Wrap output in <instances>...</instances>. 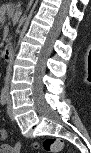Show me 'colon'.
Masks as SVG:
<instances>
[{
  "mask_svg": "<svg viewBox=\"0 0 91 153\" xmlns=\"http://www.w3.org/2000/svg\"><path fill=\"white\" fill-rule=\"evenodd\" d=\"M20 144L15 145L16 150L19 149ZM35 149H42L48 153H58L62 152L64 149V142L59 138H46L42 142H36Z\"/></svg>",
  "mask_w": 91,
  "mask_h": 153,
  "instance_id": "colon-1",
  "label": "colon"
}]
</instances>
